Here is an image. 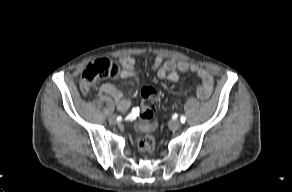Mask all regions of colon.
<instances>
[{
    "label": "colon",
    "instance_id": "colon-1",
    "mask_svg": "<svg viewBox=\"0 0 292 192\" xmlns=\"http://www.w3.org/2000/svg\"><path fill=\"white\" fill-rule=\"evenodd\" d=\"M121 75L118 65L113 64L109 59L102 58L90 63L82 73L80 88L83 93H87L90 87L100 79L116 78ZM161 96L152 87H145L142 90V102L140 117L143 121H149L154 115V111L160 106ZM145 145L152 146V139L146 138Z\"/></svg>",
    "mask_w": 292,
    "mask_h": 192
}]
</instances>
